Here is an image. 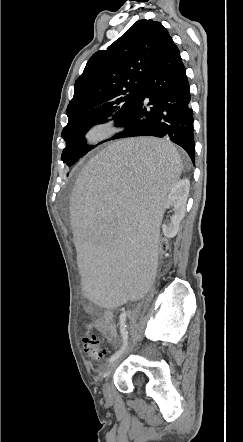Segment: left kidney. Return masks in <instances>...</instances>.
I'll return each instance as SVG.
<instances>
[{
  "label": "left kidney",
  "mask_w": 243,
  "mask_h": 442,
  "mask_svg": "<svg viewBox=\"0 0 243 442\" xmlns=\"http://www.w3.org/2000/svg\"><path fill=\"white\" fill-rule=\"evenodd\" d=\"M189 185L190 183L187 179L180 180L169 192L168 197L163 203L165 208L173 207L174 211V214L171 217V222L162 225V231L167 233L168 238L176 236L180 222L185 216Z\"/></svg>",
  "instance_id": "left-kidney-1"
}]
</instances>
